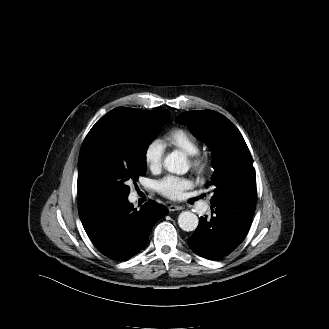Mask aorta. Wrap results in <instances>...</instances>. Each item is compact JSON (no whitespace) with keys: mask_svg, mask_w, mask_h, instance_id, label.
I'll use <instances>...</instances> for the list:
<instances>
[{"mask_svg":"<svg viewBox=\"0 0 329 329\" xmlns=\"http://www.w3.org/2000/svg\"><path fill=\"white\" fill-rule=\"evenodd\" d=\"M164 167L167 171L182 175L187 173L189 165L186 156L180 151H173L166 156ZM198 217L190 211L180 213L178 217V225L184 231H194L198 226Z\"/></svg>","mask_w":329,"mask_h":329,"instance_id":"1","label":"aorta"}]
</instances>
